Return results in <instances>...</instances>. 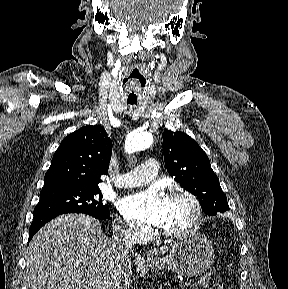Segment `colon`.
<instances>
[{
  "instance_id": "colon-1",
  "label": "colon",
  "mask_w": 288,
  "mask_h": 289,
  "mask_svg": "<svg viewBox=\"0 0 288 289\" xmlns=\"http://www.w3.org/2000/svg\"><path fill=\"white\" fill-rule=\"evenodd\" d=\"M215 289H225V286L222 283H217Z\"/></svg>"
}]
</instances>
